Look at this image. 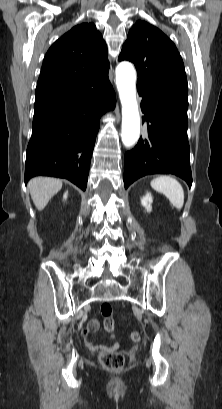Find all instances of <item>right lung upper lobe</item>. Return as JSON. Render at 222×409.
Returning <instances> with one entry per match:
<instances>
[{
	"label": "right lung upper lobe",
	"mask_w": 222,
	"mask_h": 409,
	"mask_svg": "<svg viewBox=\"0 0 222 409\" xmlns=\"http://www.w3.org/2000/svg\"><path fill=\"white\" fill-rule=\"evenodd\" d=\"M107 46L93 23L73 27L48 50L35 107L83 94L91 80L108 75Z\"/></svg>",
	"instance_id": "cb5924a9"
}]
</instances>
